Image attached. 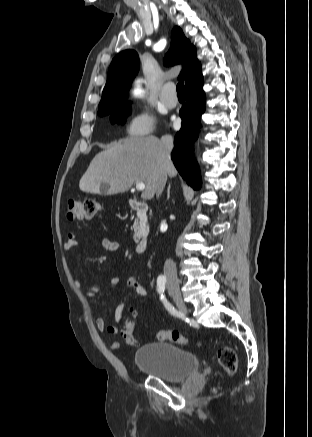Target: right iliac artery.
Masks as SVG:
<instances>
[{
	"label": "right iliac artery",
	"mask_w": 312,
	"mask_h": 437,
	"mask_svg": "<svg viewBox=\"0 0 312 437\" xmlns=\"http://www.w3.org/2000/svg\"><path fill=\"white\" fill-rule=\"evenodd\" d=\"M166 281H167L166 276H164V275H160L157 278V291L160 294V298L163 301L166 309L174 314L175 313L174 307L167 301V299L164 295Z\"/></svg>",
	"instance_id": "obj_1"
}]
</instances>
